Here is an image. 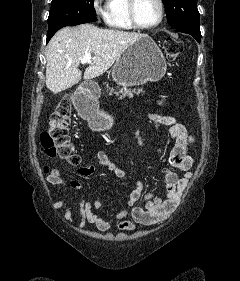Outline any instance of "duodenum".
<instances>
[{
  "label": "duodenum",
  "instance_id": "410a0bca",
  "mask_svg": "<svg viewBox=\"0 0 240 281\" xmlns=\"http://www.w3.org/2000/svg\"><path fill=\"white\" fill-rule=\"evenodd\" d=\"M98 95V90L95 87L87 86L83 91V98L81 100V104L84 105L88 99H94Z\"/></svg>",
  "mask_w": 240,
  "mask_h": 281
}]
</instances>
